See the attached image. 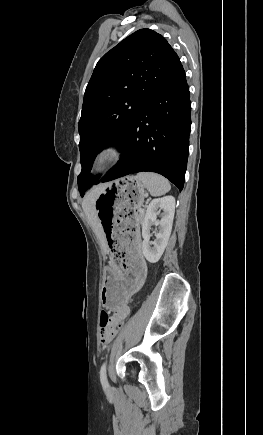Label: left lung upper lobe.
<instances>
[{"instance_id": "1", "label": "left lung upper lobe", "mask_w": 263, "mask_h": 435, "mask_svg": "<svg viewBox=\"0 0 263 435\" xmlns=\"http://www.w3.org/2000/svg\"><path fill=\"white\" fill-rule=\"evenodd\" d=\"M180 63L166 39L150 29L134 32L98 61L79 121L81 196L98 180L89 175L95 156L108 145H123L137 115Z\"/></svg>"}]
</instances>
